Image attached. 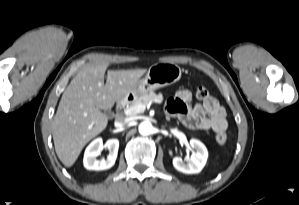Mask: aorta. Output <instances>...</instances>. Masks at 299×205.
<instances>
[{
  "label": "aorta",
  "mask_w": 299,
  "mask_h": 205,
  "mask_svg": "<svg viewBox=\"0 0 299 205\" xmlns=\"http://www.w3.org/2000/svg\"><path fill=\"white\" fill-rule=\"evenodd\" d=\"M153 131V126L150 122L144 121L139 125V133L141 135H149Z\"/></svg>",
  "instance_id": "762f6f07"
}]
</instances>
